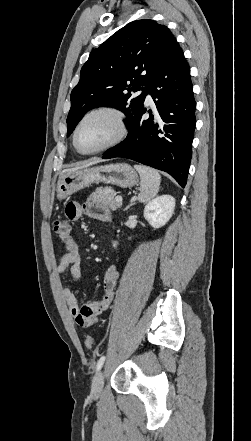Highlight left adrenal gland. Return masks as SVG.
<instances>
[{
	"label": "left adrenal gland",
	"instance_id": "1",
	"mask_svg": "<svg viewBox=\"0 0 251 441\" xmlns=\"http://www.w3.org/2000/svg\"><path fill=\"white\" fill-rule=\"evenodd\" d=\"M132 205H133V203L130 204V205H128V206L124 209V211L128 210Z\"/></svg>",
	"mask_w": 251,
	"mask_h": 441
}]
</instances>
